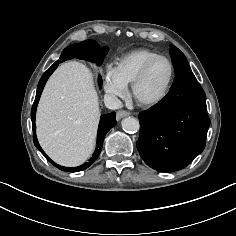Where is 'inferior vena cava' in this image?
Returning <instances> with one entry per match:
<instances>
[{
  "label": "inferior vena cava",
  "instance_id": "602c4592",
  "mask_svg": "<svg viewBox=\"0 0 236 236\" xmlns=\"http://www.w3.org/2000/svg\"><path fill=\"white\" fill-rule=\"evenodd\" d=\"M104 104L108 109L116 110L122 107L121 101L114 95H105Z\"/></svg>",
  "mask_w": 236,
  "mask_h": 236
}]
</instances>
